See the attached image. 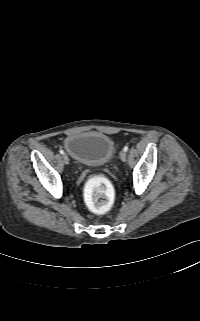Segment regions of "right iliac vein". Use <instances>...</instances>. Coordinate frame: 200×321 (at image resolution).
Instances as JSON below:
<instances>
[{
    "label": "right iliac vein",
    "mask_w": 200,
    "mask_h": 321,
    "mask_svg": "<svg viewBox=\"0 0 200 321\" xmlns=\"http://www.w3.org/2000/svg\"><path fill=\"white\" fill-rule=\"evenodd\" d=\"M63 161L65 164H68L69 163V158L66 154L63 155Z\"/></svg>",
    "instance_id": "obj_1"
}]
</instances>
